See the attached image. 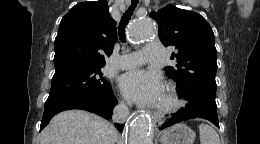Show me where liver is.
<instances>
[{"label":"liver","mask_w":260,"mask_h":144,"mask_svg":"<svg viewBox=\"0 0 260 144\" xmlns=\"http://www.w3.org/2000/svg\"><path fill=\"white\" fill-rule=\"evenodd\" d=\"M116 129L101 117L68 110L54 116L41 132L40 144H115Z\"/></svg>","instance_id":"liver-1"}]
</instances>
